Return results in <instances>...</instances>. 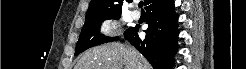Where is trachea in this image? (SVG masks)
Wrapping results in <instances>:
<instances>
[{"label":"trachea","mask_w":246,"mask_h":69,"mask_svg":"<svg viewBox=\"0 0 246 69\" xmlns=\"http://www.w3.org/2000/svg\"><path fill=\"white\" fill-rule=\"evenodd\" d=\"M138 6H139V8H142L143 7V2L142 1L139 2Z\"/></svg>","instance_id":"3493384b"}]
</instances>
